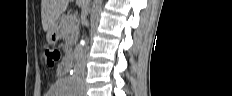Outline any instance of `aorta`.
<instances>
[{"mask_svg":"<svg viewBox=\"0 0 232 96\" xmlns=\"http://www.w3.org/2000/svg\"><path fill=\"white\" fill-rule=\"evenodd\" d=\"M84 41H81L80 44L76 47L75 49V60L77 62V64L81 63L82 58H83V52H84Z\"/></svg>","mask_w":232,"mask_h":96,"instance_id":"obj_1","label":"aorta"}]
</instances>
